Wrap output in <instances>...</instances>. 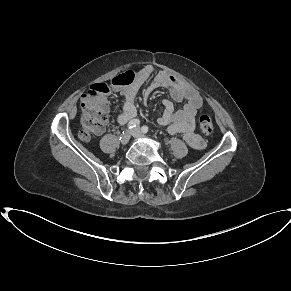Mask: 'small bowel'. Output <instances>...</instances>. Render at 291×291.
Instances as JSON below:
<instances>
[{
    "mask_svg": "<svg viewBox=\"0 0 291 291\" xmlns=\"http://www.w3.org/2000/svg\"><path fill=\"white\" fill-rule=\"evenodd\" d=\"M154 67L147 65L143 67L137 79L121 89L124 97L122 112L118 114L116 122L125 124L136 116L135 96L144 80L153 75ZM158 88H167L172 99L184 103L180 109H175L171 100L162 102L163 113L158 118V123L168 127L171 134H183L186 143L194 149L204 147L203 139L195 132V116L201 108V98L198 92L188 83L182 81L166 72H159L147 88L150 93Z\"/></svg>",
    "mask_w": 291,
    "mask_h": 291,
    "instance_id": "obj_1",
    "label": "small bowel"
}]
</instances>
